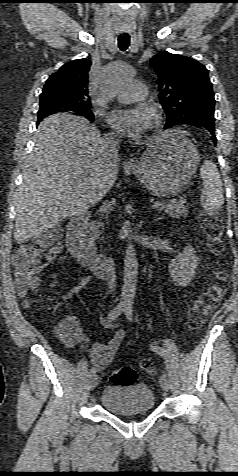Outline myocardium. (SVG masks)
I'll return each mask as SVG.
<instances>
[{"instance_id": "obj_1", "label": "myocardium", "mask_w": 238, "mask_h": 476, "mask_svg": "<svg viewBox=\"0 0 238 476\" xmlns=\"http://www.w3.org/2000/svg\"><path fill=\"white\" fill-rule=\"evenodd\" d=\"M153 111V126L156 127L160 123V113L156 109H152Z\"/></svg>"}]
</instances>
